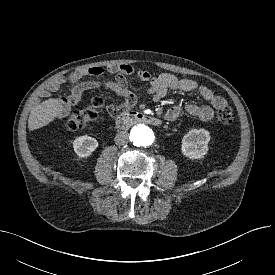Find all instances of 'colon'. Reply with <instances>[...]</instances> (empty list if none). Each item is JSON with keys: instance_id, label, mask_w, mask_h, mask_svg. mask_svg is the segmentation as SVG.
I'll use <instances>...</instances> for the list:
<instances>
[{"instance_id": "obj_1", "label": "colon", "mask_w": 275, "mask_h": 275, "mask_svg": "<svg viewBox=\"0 0 275 275\" xmlns=\"http://www.w3.org/2000/svg\"><path fill=\"white\" fill-rule=\"evenodd\" d=\"M102 108V100L100 98H93L90 104L80 110L72 112L66 121V128L74 131L81 129L94 121ZM218 120L223 124H230L233 121L232 109L225 106L218 110Z\"/></svg>"}]
</instances>
